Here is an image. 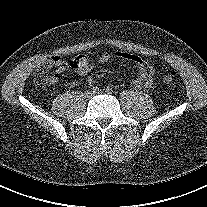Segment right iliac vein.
<instances>
[{
    "label": "right iliac vein",
    "instance_id": "right-iliac-vein-1",
    "mask_svg": "<svg viewBox=\"0 0 207 207\" xmlns=\"http://www.w3.org/2000/svg\"><path fill=\"white\" fill-rule=\"evenodd\" d=\"M85 94H86V96L89 97V98L92 97V95H93V93L90 92V91H87Z\"/></svg>",
    "mask_w": 207,
    "mask_h": 207
}]
</instances>
